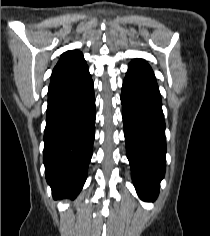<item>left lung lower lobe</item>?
Returning <instances> with one entry per match:
<instances>
[{
    "instance_id": "0a47b994",
    "label": "left lung lower lobe",
    "mask_w": 210,
    "mask_h": 236,
    "mask_svg": "<svg viewBox=\"0 0 210 236\" xmlns=\"http://www.w3.org/2000/svg\"><path fill=\"white\" fill-rule=\"evenodd\" d=\"M122 117L127 157L139 196L154 200L165 173V121L161 95L150 66L129 64L123 81Z\"/></svg>"
}]
</instances>
